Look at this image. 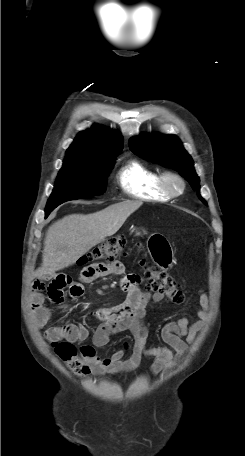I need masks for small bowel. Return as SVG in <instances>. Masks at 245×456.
<instances>
[{"label": "small bowel", "mask_w": 245, "mask_h": 456, "mask_svg": "<svg viewBox=\"0 0 245 456\" xmlns=\"http://www.w3.org/2000/svg\"><path fill=\"white\" fill-rule=\"evenodd\" d=\"M119 276L120 286L127 292L126 300L114 307L100 308L96 316L103 324L96 330L93 344L102 347L108 344L110 337L118 332L129 330L133 334V345L128 359L123 360V349L114 351L107 358L97 356L93 346L81 347L82 361L88 366V372L94 375L131 372L136 370L142 357H152L150 371L153 375L172 369L186 354L189 345L194 342L196 334L203 328L209 311V298L203 291H198L199 307L196 310L198 320L190 322L187 317H181L164 325L161 338L166 346L147 347L148 329L144 324L146 306L150 301L160 302L164 295L140 288V277L137 274H127L124 265L117 260L108 263L91 264L85 267L77 281H72L67 275L54 273L37 279L32 284L31 308L33 319L38 327H44L51 317V310L45 303L44 291L48 298L56 303L63 302V290L68 287L69 294L78 298L84 292V284L92 283L99 278ZM88 329L83 324L65 323L49 327L45 337L50 342L66 340L77 343L86 340Z\"/></svg>", "instance_id": "small-bowel-1"}]
</instances>
